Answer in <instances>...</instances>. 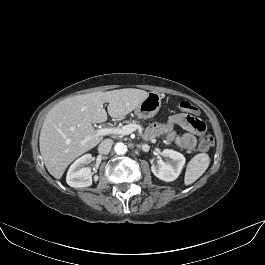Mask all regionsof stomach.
I'll return each mask as SVG.
<instances>
[{
	"mask_svg": "<svg viewBox=\"0 0 265 265\" xmlns=\"http://www.w3.org/2000/svg\"><path fill=\"white\" fill-rule=\"evenodd\" d=\"M162 97L157 92H150L146 99L135 109L138 118L147 119L154 117L161 107Z\"/></svg>",
	"mask_w": 265,
	"mask_h": 265,
	"instance_id": "obj_1",
	"label": "stomach"
}]
</instances>
